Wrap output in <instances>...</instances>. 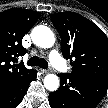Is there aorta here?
<instances>
[{
  "label": "aorta",
  "instance_id": "1",
  "mask_svg": "<svg viewBox=\"0 0 108 108\" xmlns=\"http://www.w3.org/2000/svg\"><path fill=\"white\" fill-rule=\"evenodd\" d=\"M31 39L33 43L41 48H50L55 43L53 31L43 25L36 26L31 31ZM44 86L49 91H56L60 85L59 77L55 74H48L44 78Z\"/></svg>",
  "mask_w": 108,
  "mask_h": 108
}]
</instances>
